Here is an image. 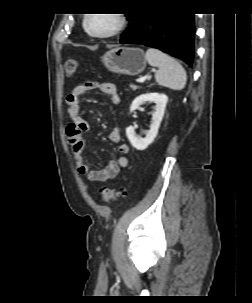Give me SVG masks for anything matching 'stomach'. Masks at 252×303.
<instances>
[{"label": "stomach", "instance_id": "1", "mask_svg": "<svg viewBox=\"0 0 252 303\" xmlns=\"http://www.w3.org/2000/svg\"><path fill=\"white\" fill-rule=\"evenodd\" d=\"M104 66L113 73L135 76L144 71L146 58L139 48L118 47L102 57Z\"/></svg>", "mask_w": 252, "mask_h": 303}]
</instances>
